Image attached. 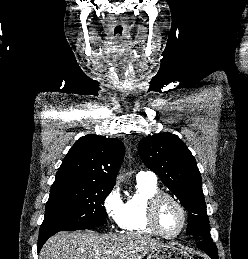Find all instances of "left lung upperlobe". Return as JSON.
Instances as JSON below:
<instances>
[{
	"instance_id": "left-lung-upper-lobe-1",
	"label": "left lung upper lobe",
	"mask_w": 248,
	"mask_h": 259,
	"mask_svg": "<svg viewBox=\"0 0 248 259\" xmlns=\"http://www.w3.org/2000/svg\"><path fill=\"white\" fill-rule=\"evenodd\" d=\"M144 164L177 196L188 214V235L210 239V227L195 158L177 135L163 132L138 145Z\"/></svg>"
}]
</instances>
